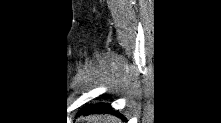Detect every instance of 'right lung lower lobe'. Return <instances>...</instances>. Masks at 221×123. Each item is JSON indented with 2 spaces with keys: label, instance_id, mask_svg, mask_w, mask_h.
Wrapping results in <instances>:
<instances>
[{
  "label": "right lung lower lobe",
  "instance_id": "obj_1",
  "mask_svg": "<svg viewBox=\"0 0 221 123\" xmlns=\"http://www.w3.org/2000/svg\"><path fill=\"white\" fill-rule=\"evenodd\" d=\"M103 112L114 113L115 111H112V108L107 104H100L86 108L85 110L82 111V114L86 115L91 113H103Z\"/></svg>",
  "mask_w": 221,
  "mask_h": 123
}]
</instances>
